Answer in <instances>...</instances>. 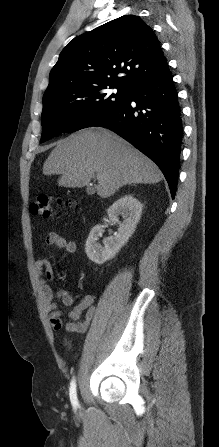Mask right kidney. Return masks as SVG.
<instances>
[{
  "instance_id": "ca27d5eb",
  "label": "right kidney",
  "mask_w": 219,
  "mask_h": 447,
  "mask_svg": "<svg viewBox=\"0 0 219 447\" xmlns=\"http://www.w3.org/2000/svg\"><path fill=\"white\" fill-rule=\"evenodd\" d=\"M143 205L130 194L115 201L108 209L107 216L112 222L118 223V233L103 240L102 246L98 240L102 236L104 225L94 226L87 238L85 252L87 257L96 264H103L114 258L120 249L128 242L136 229L142 214ZM123 217L119 223L118 216ZM106 220V219H104Z\"/></svg>"
}]
</instances>
